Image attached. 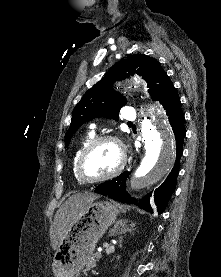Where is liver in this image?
<instances>
[{"label":"liver","mask_w":221,"mask_h":277,"mask_svg":"<svg viewBox=\"0 0 221 277\" xmlns=\"http://www.w3.org/2000/svg\"><path fill=\"white\" fill-rule=\"evenodd\" d=\"M98 198V194L91 192L74 194L58 209L54 217V230L51 235L53 250L58 248L79 213Z\"/></svg>","instance_id":"obj_1"}]
</instances>
